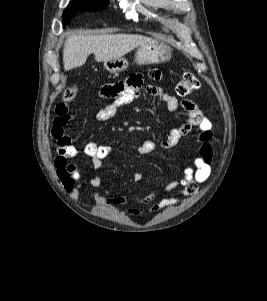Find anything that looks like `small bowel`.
I'll list each match as a JSON object with an SVG mask.
<instances>
[{"label": "small bowel", "instance_id": "c3829d8e", "mask_svg": "<svg viewBox=\"0 0 267 301\" xmlns=\"http://www.w3.org/2000/svg\"><path fill=\"white\" fill-rule=\"evenodd\" d=\"M150 77L154 80H159L160 74L157 71L150 73ZM142 93H146L151 97H156L162 100L169 111H177L180 107L187 112V121L179 127L170 130L167 137L159 144V147L164 150L175 149L182 137L196 128L199 132V154L193 159L190 166L184 167L182 174L169 183L165 191L171 192L178 189L182 194L193 196L197 193L199 185L211 175V162L213 151L210 142L213 137L212 123L203 116L197 105L191 100H178L163 91V89L154 84H144V76L140 73L131 74L125 80L117 81L103 85L99 91L98 96L101 100L111 101L105 104L97 112V118L101 121H106L113 118L117 109L121 106L128 105L135 101ZM56 118L51 130L53 139L57 146V156L55 158V167L57 176L62 183L64 189L71 194L73 198L78 197L79 171L77 166L69 162V159L77 155V149L72 144L71 138L65 133L64 129L71 121L72 116L66 103L61 102L55 108ZM157 144L153 140L144 141L137 149L140 154H149L157 149ZM113 151V147L109 144H98L96 142H88L83 148L86 156L92 160L93 168L97 171L102 166V162ZM142 179L140 173L135 174L134 181L139 182ZM87 184L92 190H103L105 195L108 191L104 189L103 183L98 175H93L87 180ZM96 199L102 202L103 195L96 192ZM152 196H148L141 200V202H148ZM176 200L174 196H169L160 200L150 207V212H158L170 207ZM108 205H124L129 202V199L122 195L110 196L106 199ZM129 213L132 215H139L140 211L137 209H130Z\"/></svg>", "mask_w": 267, "mask_h": 301}]
</instances>
